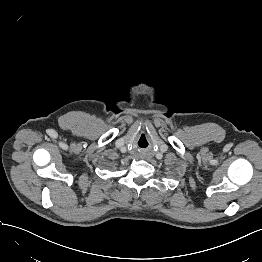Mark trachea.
Listing matches in <instances>:
<instances>
[{"mask_svg":"<svg viewBox=\"0 0 262 262\" xmlns=\"http://www.w3.org/2000/svg\"><path fill=\"white\" fill-rule=\"evenodd\" d=\"M138 146L141 148L147 147L148 146V140L146 138V136L141 135L138 139Z\"/></svg>","mask_w":262,"mask_h":262,"instance_id":"obj_1","label":"trachea"}]
</instances>
